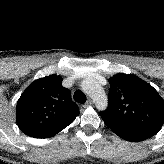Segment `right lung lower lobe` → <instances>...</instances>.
<instances>
[{"instance_id":"right-lung-lower-lobe-1","label":"right lung lower lobe","mask_w":164,"mask_h":164,"mask_svg":"<svg viewBox=\"0 0 164 164\" xmlns=\"http://www.w3.org/2000/svg\"><path fill=\"white\" fill-rule=\"evenodd\" d=\"M74 120V119H73ZM73 120H70L68 122H65L51 130H48V131H45V132H42L36 136H34L35 138H48V137H52L54 135H56L58 132H60L61 130H63L65 127H67L68 125H70Z\"/></svg>"}]
</instances>
